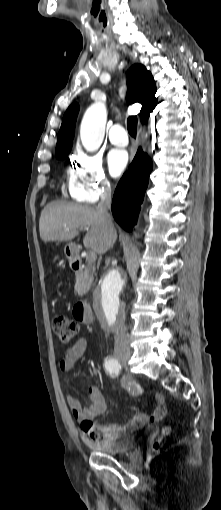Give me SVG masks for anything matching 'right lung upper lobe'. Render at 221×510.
Returning <instances> with one entry per match:
<instances>
[{
	"label": "right lung upper lobe",
	"mask_w": 221,
	"mask_h": 510,
	"mask_svg": "<svg viewBox=\"0 0 221 510\" xmlns=\"http://www.w3.org/2000/svg\"><path fill=\"white\" fill-rule=\"evenodd\" d=\"M156 86L152 74L141 64L133 65L128 71V95L129 103L139 102L142 104L140 111L141 121L146 122L149 113L158 104L155 98ZM79 111L78 104L69 106L64 114L62 125L58 133L56 155L71 149V141L75 133V123Z\"/></svg>",
	"instance_id": "1"
}]
</instances>
